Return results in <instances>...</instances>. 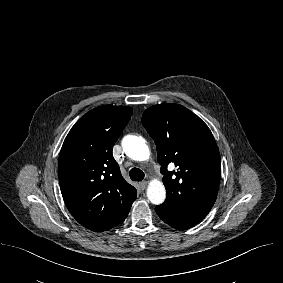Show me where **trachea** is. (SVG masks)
<instances>
[{
	"instance_id": "obj_1",
	"label": "trachea",
	"mask_w": 283,
	"mask_h": 283,
	"mask_svg": "<svg viewBox=\"0 0 283 283\" xmlns=\"http://www.w3.org/2000/svg\"><path fill=\"white\" fill-rule=\"evenodd\" d=\"M132 181H142L144 179V172L139 168H132L129 172Z\"/></svg>"
}]
</instances>
